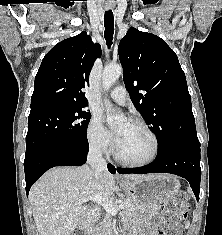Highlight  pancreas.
Here are the masks:
<instances>
[{
	"mask_svg": "<svg viewBox=\"0 0 222 235\" xmlns=\"http://www.w3.org/2000/svg\"><path fill=\"white\" fill-rule=\"evenodd\" d=\"M115 203L116 204L120 203L124 205L123 215L127 219H131L135 217L139 212H147L148 210L153 208V207L138 208L133 204V202H131L128 199L124 201L123 200H120L118 202L116 201ZM111 227H112V216L106 213L104 217L102 218V220L98 224H96L95 229H94V235H109Z\"/></svg>",
	"mask_w": 222,
	"mask_h": 235,
	"instance_id": "1",
	"label": "pancreas"
}]
</instances>
